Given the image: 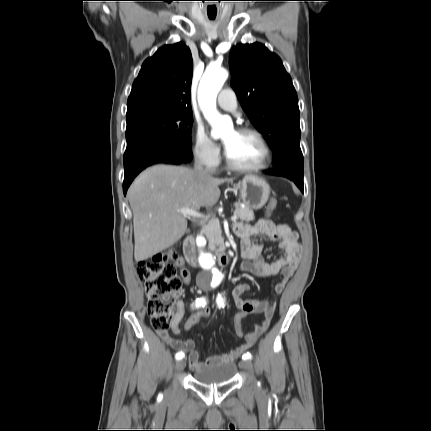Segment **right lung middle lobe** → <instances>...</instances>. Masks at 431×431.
<instances>
[{
    "label": "right lung middle lobe",
    "instance_id": "right-lung-middle-lobe-1",
    "mask_svg": "<svg viewBox=\"0 0 431 431\" xmlns=\"http://www.w3.org/2000/svg\"><path fill=\"white\" fill-rule=\"evenodd\" d=\"M127 144L150 135H160L191 147L193 116L190 112H151L127 118Z\"/></svg>",
    "mask_w": 431,
    "mask_h": 431
}]
</instances>
